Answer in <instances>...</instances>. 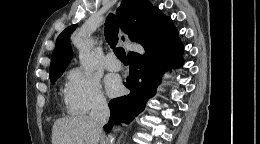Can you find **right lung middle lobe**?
Returning <instances> with one entry per match:
<instances>
[{
  "mask_svg": "<svg viewBox=\"0 0 260 144\" xmlns=\"http://www.w3.org/2000/svg\"><path fill=\"white\" fill-rule=\"evenodd\" d=\"M64 70H61V71H58V72H55V73H52L50 74V80L52 83H54V81L60 77L62 74H63Z\"/></svg>",
  "mask_w": 260,
  "mask_h": 144,
  "instance_id": "1",
  "label": "right lung middle lobe"
}]
</instances>
